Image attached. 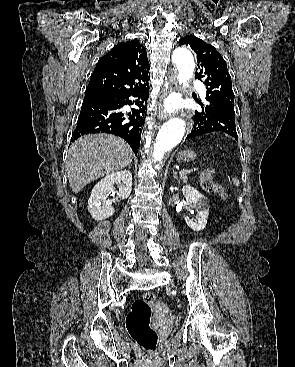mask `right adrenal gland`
Returning a JSON list of instances; mask_svg holds the SVG:
<instances>
[{"mask_svg": "<svg viewBox=\"0 0 295 367\" xmlns=\"http://www.w3.org/2000/svg\"><path fill=\"white\" fill-rule=\"evenodd\" d=\"M128 169H131V165H128Z\"/></svg>", "mask_w": 295, "mask_h": 367, "instance_id": "obj_1", "label": "right adrenal gland"}]
</instances>
